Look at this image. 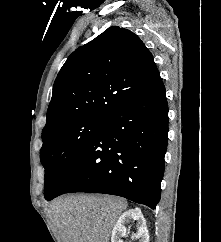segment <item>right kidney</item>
Instances as JSON below:
<instances>
[{"label": "right kidney", "mask_w": 221, "mask_h": 242, "mask_svg": "<svg viewBox=\"0 0 221 242\" xmlns=\"http://www.w3.org/2000/svg\"><path fill=\"white\" fill-rule=\"evenodd\" d=\"M137 222V232L132 235V239H138L139 242H149V233L146 226V220L140 209H130L124 212L116 222L111 235V242H123L121 239L127 232L125 225L131 221Z\"/></svg>", "instance_id": "right-kidney-1"}]
</instances>
